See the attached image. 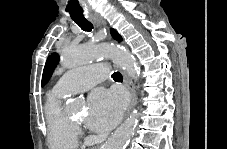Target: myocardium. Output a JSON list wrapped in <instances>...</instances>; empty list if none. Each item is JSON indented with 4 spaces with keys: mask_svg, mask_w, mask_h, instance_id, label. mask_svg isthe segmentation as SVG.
Segmentation results:
<instances>
[{
    "mask_svg": "<svg viewBox=\"0 0 227 149\" xmlns=\"http://www.w3.org/2000/svg\"><path fill=\"white\" fill-rule=\"evenodd\" d=\"M72 122H73V124H74L76 127L81 125V123H80L79 121H73V120H72Z\"/></svg>",
    "mask_w": 227,
    "mask_h": 149,
    "instance_id": "myocardium-1",
    "label": "myocardium"
}]
</instances>
